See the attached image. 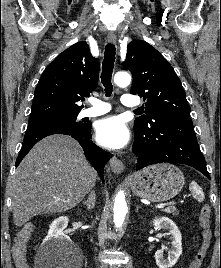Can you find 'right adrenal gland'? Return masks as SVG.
<instances>
[{
	"label": "right adrenal gland",
	"instance_id": "2a0ac1e0",
	"mask_svg": "<svg viewBox=\"0 0 221 268\" xmlns=\"http://www.w3.org/2000/svg\"><path fill=\"white\" fill-rule=\"evenodd\" d=\"M83 204L86 206L87 210H92L96 204V194L94 191H91L88 198L83 201Z\"/></svg>",
	"mask_w": 221,
	"mask_h": 268
}]
</instances>
